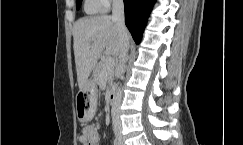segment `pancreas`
Here are the masks:
<instances>
[{"label":"pancreas","mask_w":243,"mask_h":145,"mask_svg":"<svg viewBox=\"0 0 243 145\" xmlns=\"http://www.w3.org/2000/svg\"><path fill=\"white\" fill-rule=\"evenodd\" d=\"M94 79L97 83L110 85L114 79V65L108 69L105 61H101L95 69Z\"/></svg>","instance_id":"1"}]
</instances>
